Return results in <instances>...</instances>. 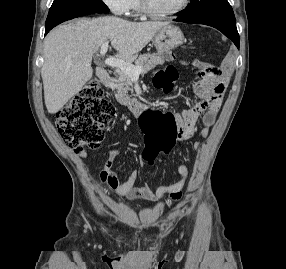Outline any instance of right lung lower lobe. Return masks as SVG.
Instances as JSON below:
<instances>
[{
	"label": "right lung lower lobe",
	"instance_id": "obj_1",
	"mask_svg": "<svg viewBox=\"0 0 286 269\" xmlns=\"http://www.w3.org/2000/svg\"><path fill=\"white\" fill-rule=\"evenodd\" d=\"M52 28H45V35L51 30Z\"/></svg>",
	"mask_w": 286,
	"mask_h": 269
}]
</instances>
